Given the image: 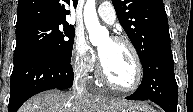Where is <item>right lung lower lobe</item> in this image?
I'll return each instance as SVG.
<instances>
[{
    "label": "right lung lower lobe",
    "instance_id": "1",
    "mask_svg": "<svg viewBox=\"0 0 193 112\" xmlns=\"http://www.w3.org/2000/svg\"><path fill=\"white\" fill-rule=\"evenodd\" d=\"M73 84L70 62L50 53H35L14 62L8 112H16L33 95L51 89H68Z\"/></svg>",
    "mask_w": 193,
    "mask_h": 112
}]
</instances>
